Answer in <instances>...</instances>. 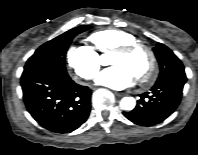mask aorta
<instances>
[{
  "label": "aorta",
  "mask_w": 198,
  "mask_h": 155,
  "mask_svg": "<svg viewBox=\"0 0 198 155\" xmlns=\"http://www.w3.org/2000/svg\"><path fill=\"white\" fill-rule=\"evenodd\" d=\"M110 58H111V52H106L105 54L101 55L100 63L105 66L109 65ZM135 105H136V101L133 97H124L120 101V107L126 111L133 110L135 108Z\"/></svg>",
  "instance_id": "1"
}]
</instances>
